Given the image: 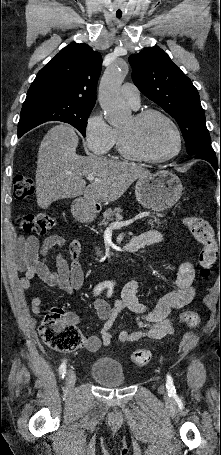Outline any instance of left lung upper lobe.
Listing matches in <instances>:
<instances>
[{
  "instance_id": "1",
  "label": "left lung upper lobe",
  "mask_w": 221,
  "mask_h": 455,
  "mask_svg": "<svg viewBox=\"0 0 221 455\" xmlns=\"http://www.w3.org/2000/svg\"><path fill=\"white\" fill-rule=\"evenodd\" d=\"M129 63L138 89L179 124L187 153L215 154L198 91L170 57L161 48L150 47L130 55Z\"/></svg>"
}]
</instances>
